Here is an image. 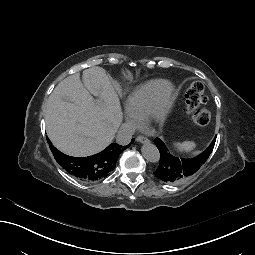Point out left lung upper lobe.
Masks as SVG:
<instances>
[{
	"label": "left lung upper lobe",
	"instance_id": "left-lung-upper-lobe-1",
	"mask_svg": "<svg viewBox=\"0 0 255 255\" xmlns=\"http://www.w3.org/2000/svg\"><path fill=\"white\" fill-rule=\"evenodd\" d=\"M215 140H216V137H215V139L211 142V143H215ZM159 141H161L160 139H159ZM163 143V142H162ZM155 145L157 146V143H155ZM211 145V144H210ZM163 147H164V151H167V149H166V146L164 145V143H163ZM158 148V147H157ZM209 148V147H208ZM206 151H207V149H206ZM211 154V153H210ZM170 156H172V155H170ZM201 154L199 155V156H197V157H195V158H201ZM195 158H192V159H195ZM180 160V159H179ZM185 160H187V159H185ZM193 166H196V164H194ZM202 166V165H201ZM199 170V169H198ZM160 172V171H159ZM197 172V171H196ZM195 174V173H194ZM193 174V175H194ZM192 176V175H191ZM191 176H189V177H191ZM188 177V178H189ZM158 178V177H157ZM158 179H160L161 180V178H158ZM187 179V178H186ZM162 181H164V180H162ZM184 181V180H183ZM164 182H166L167 183V181H164ZM179 182H182V181H179ZM174 183H178V182H174Z\"/></svg>",
	"mask_w": 255,
	"mask_h": 255
}]
</instances>
